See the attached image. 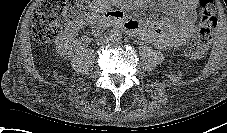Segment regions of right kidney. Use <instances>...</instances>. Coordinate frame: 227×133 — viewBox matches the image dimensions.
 <instances>
[{
    "instance_id": "obj_1",
    "label": "right kidney",
    "mask_w": 227,
    "mask_h": 133,
    "mask_svg": "<svg viewBox=\"0 0 227 133\" xmlns=\"http://www.w3.org/2000/svg\"><path fill=\"white\" fill-rule=\"evenodd\" d=\"M83 25H85L84 20L76 19L70 22L65 28L64 35L61 37L59 45L57 46V53L60 54V56L67 58L65 57L67 54L71 55V53H73V46L81 44L79 40L75 39V35L77 31L83 27Z\"/></svg>"
}]
</instances>
